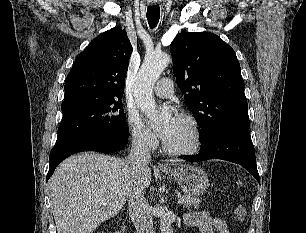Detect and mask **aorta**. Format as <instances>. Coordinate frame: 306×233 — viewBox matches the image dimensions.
<instances>
[{
	"instance_id": "1",
	"label": "aorta",
	"mask_w": 306,
	"mask_h": 233,
	"mask_svg": "<svg viewBox=\"0 0 306 233\" xmlns=\"http://www.w3.org/2000/svg\"><path fill=\"white\" fill-rule=\"evenodd\" d=\"M169 62L170 57L166 53L152 54L144 59L137 74L135 100L139 109L149 118L152 125H156L162 120L152 90ZM160 233H173L171 224L166 218L160 220Z\"/></svg>"
}]
</instances>
